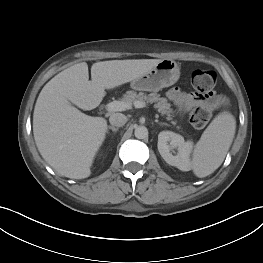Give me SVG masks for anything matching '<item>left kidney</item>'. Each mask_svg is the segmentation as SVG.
<instances>
[{
	"label": "left kidney",
	"instance_id": "1",
	"mask_svg": "<svg viewBox=\"0 0 263 263\" xmlns=\"http://www.w3.org/2000/svg\"><path fill=\"white\" fill-rule=\"evenodd\" d=\"M157 147L160 155L169 165L175 166L182 171L190 170L193 142L185 141L181 135L172 131H162L158 135ZM173 149H177L175 155L172 154Z\"/></svg>",
	"mask_w": 263,
	"mask_h": 263
}]
</instances>
